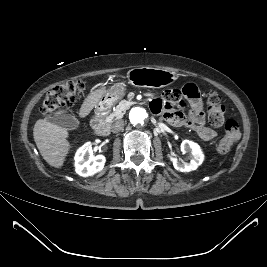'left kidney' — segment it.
I'll return each mask as SVG.
<instances>
[{
  "mask_svg": "<svg viewBox=\"0 0 267 267\" xmlns=\"http://www.w3.org/2000/svg\"><path fill=\"white\" fill-rule=\"evenodd\" d=\"M181 149L183 152L190 151L191 161L189 163L181 162L178 158L169 155L174 168L181 172H190V171L196 170L197 167L204 160V155L199 145L190 140H183L181 143Z\"/></svg>",
  "mask_w": 267,
  "mask_h": 267,
  "instance_id": "left-kidney-1",
  "label": "left kidney"
}]
</instances>
